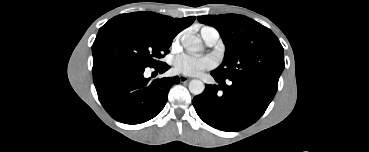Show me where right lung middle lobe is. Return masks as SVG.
Listing matches in <instances>:
<instances>
[{
	"label": "right lung middle lobe",
	"instance_id": "obj_1",
	"mask_svg": "<svg viewBox=\"0 0 369 152\" xmlns=\"http://www.w3.org/2000/svg\"><path fill=\"white\" fill-rule=\"evenodd\" d=\"M172 40L116 16L100 28L92 45L93 74L119 64L158 66Z\"/></svg>",
	"mask_w": 369,
	"mask_h": 152
}]
</instances>
